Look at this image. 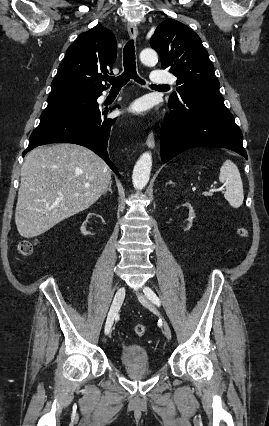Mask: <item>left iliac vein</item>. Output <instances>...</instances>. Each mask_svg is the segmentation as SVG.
Listing matches in <instances>:
<instances>
[{
  "instance_id": "left-iliac-vein-1",
  "label": "left iliac vein",
  "mask_w": 269,
  "mask_h": 426,
  "mask_svg": "<svg viewBox=\"0 0 269 426\" xmlns=\"http://www.w3.org/2000/svg\"><path fill=\"white\" fill-rule=\"evenodd\" d=\"M138 299L148 309L153 310V311H157L156 307L143 294L139 293L138 294ZM158 315L162 318V321H163L164 334H165L166 338L168 340H170L171 337H172L171 329H170L168 323L165 321V319L160 315V313H158Z\"/></svg>"
}]
</instances>
